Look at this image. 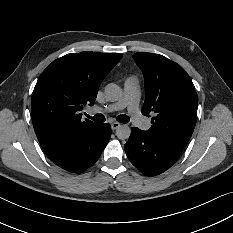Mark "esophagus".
<instances>
[{
  "label": "esophagus",
  "instance_id": "esophagus-1",
  "mask_svg": "<svg viewBox=\"0 0 233 233\" xmlns=\"http://www.w3.org/2000/svg\"><path fill=\"white\" fill-rule=\"evenodd\" d=\"M119 127H120V123L119 122H113V123H111L112 130H116Z\"/></svg>",
  "mask_w": 233,
  "mask_h": 233
}]
</instances>
